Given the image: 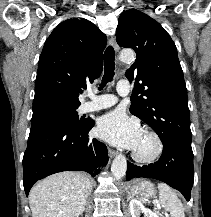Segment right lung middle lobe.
I'll return each instance as SVG.
<instances>
[{
	"label": "right lung middle lobe",
	"mask_w": 211,
	"mask_h": 217,
	"mask_svg": "<svg viewBox=\"0 0 211 217\" xmlns=\"http://www.w3.org/2000/svg\"><path fill=\"white\" fill-rule=\"evenodd\" d=\"M85 119H79L76 109L57 111L45 114L31 120V126L44 124H57L71 128H81Z\"/></svg>",
	"instance_id": "dd1d6c3e"
}]
</instances>
